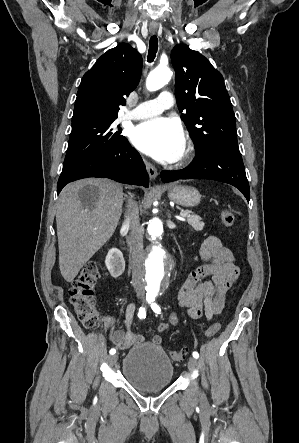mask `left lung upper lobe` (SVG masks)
Returning <instances> with one entry per match:
<instances>
[{
    "label": "left lung upper lobe",
    "mask_w": 299,
    "mask_h": 443,
    "mask_svg": "<svg viewBox=\"0 0 299 443\" xmlns=\"http://www.w3.org/2000/svg\"><path fill=\"white\" fill-rule=\"evenodd\" d=\"M175 93L195 153L220 147L239 152L236 121L223 76L206 57L184 45L171 52Z\"/></svg>",
    "instance_id": "1"
}]
</instances>
